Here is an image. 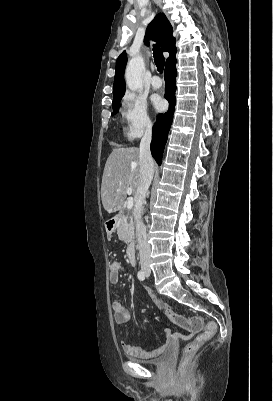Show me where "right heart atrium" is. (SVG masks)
Here are the masks:
<instances>
[{
    "label": "right heart atrium",
    "mask_w": 273,
    "mask_h": 401,
    "mask_svg": "<svg viewBox=\"0 0 273 401\" xmlns=\"http://www.w3.org/2000/svg\"><path fill=\"white\" fill-rule=\"evenodd\" d=\"M121 112L126 124L124 135L128 140H137L153 130L154 122L148 115L146 104L142 99L127 95Z\"/></svg>",
    "instance_id": "right-heart-atrium-1"
}]
</instances>
